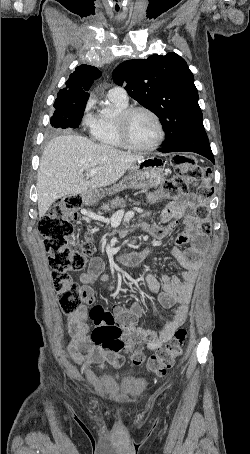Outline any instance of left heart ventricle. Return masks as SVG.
<instances>
[{"instance_id":"left-heart-ventricle-1","label":"left heart ventricle","mask_w":250,"mask_h":454,"mask_svg":"<svg viewBox=\"0 0 250 454\" xmlns=\"http://www.w3.org/2000/svg\"><path fill=\"white\" fill-rule=\"evenodd\" d=\"M129 134L135 145L147 147L157 139L158 129L150 115L138 112L129 121Z\"/></svg>"}]
</instances>
